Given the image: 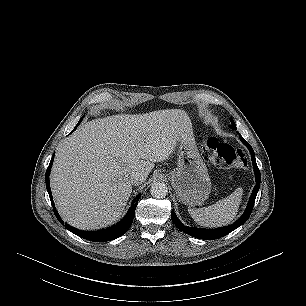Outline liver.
<instances>
[{
  "label": "liver",
  "instance_id": "obj_1",
  "mask_svg": "<svg viewBox=\"0 0 306 306\" xmlns=\"http://www.w3.org/2000/svg\"><path fill=\"white\" fill-rule=\"evenodd\" d=\"M192 133L181 109L94 119L58 145L50 183L63 220L83 230L113 224L132 193V172L145 178Z\"/></svg>",
  "mask_w": 306,
  "mask_h": 306
}]
</instances>
